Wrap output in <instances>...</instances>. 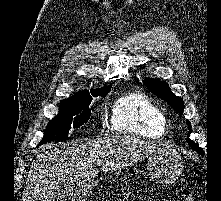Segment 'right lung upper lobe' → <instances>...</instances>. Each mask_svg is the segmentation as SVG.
<instances>
[{"instance_id":"1","label":"right lung upper lobe","mask_w":221,"mask_h":201,"mask_svg":"<svg viewBox=\"0 0 221 201\" xmlns=\"http://www.w3.org/2000/svg\"><path fill=\"white\" fill-rule=\"evenodd\" d=\"M111 89V85L110 86H105L101 89H97V90H91L90 93L87 90L84 91H80L75 93V95L71 96L69 99H77V98H82V97H86V96H90L99 92H103V91H110Z\"/></svg>"}]
</instances>
